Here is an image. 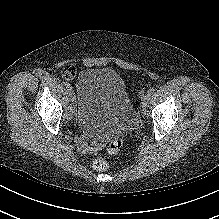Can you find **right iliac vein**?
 I'll return each mask as SVG.
<instances>
[{
  "instance_id": "right-iliac-vein-1",
  "label": "right iliac vein",
  "mask_w": 219,
  "mask_h": 219,
  "mask_svg": "<svg viewBox=\"0 0 219 219\" xmlns=\"http://www.w3.org/2000/svg\"><path fill=\"white\" fill-rule=\"evenodd\" d=\"M69 96H70L71 101L74 102L75 95H74V92L72 91V89L69 90Z\"/></svg>"
}]
</instances>
